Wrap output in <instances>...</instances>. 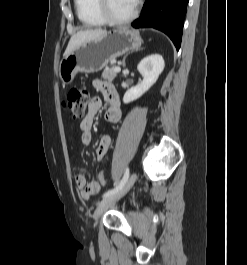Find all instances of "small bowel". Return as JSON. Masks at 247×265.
I'll return each instance as SVG.
<instances>
[{
    "instance_id": "obj_1",
    "label": "small bowel",
    "mask_w": 247,
    "mask_h": 265,
    "mask_svg": "<svg viewBox=\"0 0 247 265\" xmlns=\"http://www.w3.org/2000/svg\"><path fill=\"white\" fill-rule=\"evenodd\" d=\"M93 86L102 92L104 98L108 103V107L105 113V118L108 122L118 123L121 120L122 113L120 109L119 95L115 87L105 81L96 79L93 81ZM102 106V101L99 97H93L88 105L87 114L80 122L81 136L80 142L82 145H89L92 141L91 129L93 126L94 118L99 109ZM112 139L108 134L102 135L99 145L96 150L97 160L100 161L104 158L110 149ZM75 185L80 191V195L83 199H90L93 195L99 192L100 185L96 181L87 182L86 178L82 174L75 176Z\"/></svg>"
}]
</instances>
